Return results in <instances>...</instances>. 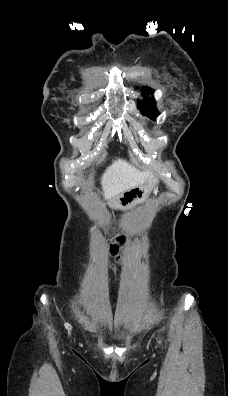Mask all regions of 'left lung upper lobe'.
<instances>
[{"label": "left lung upper lobe", "mask_w": 228, "mask_h": 396, "mask_svg": "<svg viewBox=\"0 0 228 396\" xmlns=\"http://www.w3.org/2000/svg\"><path fill=\"white\" fill-rule=\"evenodd\" d=\"M144 95V100H141L138 104L139 109L142 114L147 117L155 120V118L159 115L158 110L156 108V103L153 97H149V94H152L154 91L150 88H144L142 90Z\"/></svg>", "instance_id": "5c2ea615"}]
</instances>
